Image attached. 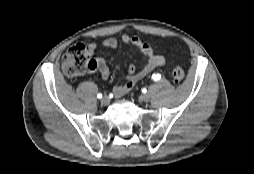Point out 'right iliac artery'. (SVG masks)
<instances>
[{
	"mask_svg": "<svg viewBox=\"0 0 254 174\" xmlns=\"http://www.w3.org/2000/svg\"><path fill=\"white\" fill-rule=\"evenodd\" d=\"M97 97H98L99 99L102 98V94L99 93V94L97 95Z\"/></svg>",
	"mask_w": 254,
	"mask_h": 174,
	"instance_id": "82829eb1",
	"label": "right iliac artery"
}]
</instances>
